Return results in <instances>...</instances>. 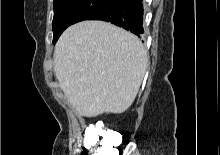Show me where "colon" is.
Instances as JSON below:
<instances>
[{"label":"colon","instance_id":"1","mask_svg":"<svg viewBox=\"0 0 220 155\" xmlns=\"http://www.w3.org/2000/svg\"><path fill=\"white\" fill-rule=\"evenodd\" d=\"M87 141H94L85 146V155H114L115 146L111 142V135L96 130L87 135Z\"/></svg>","mask_w":220,"mask_h":155}]
</instances>
